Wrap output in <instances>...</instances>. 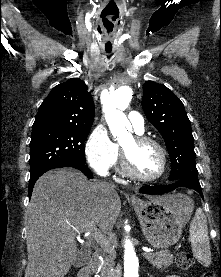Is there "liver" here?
<instances>
[{"instance_id": "1", "label": "liver", "mask_w": 221, "mask_h": 277, "mask_svg": "<svg viewBox=\"0 0 221 277\" xmlns=\"http://www.w3.org/2000/svg\"><path fill=\"white\" fill-rule=\"evenodd\" d=\"M161 198L176 204L181 196ZM120 210V197L106 182H91L73 168L43 174L27 208L25 277H64L78 253L76 236L91 223L98 231L109 233Z\"/></svg>"}]
</instances>
